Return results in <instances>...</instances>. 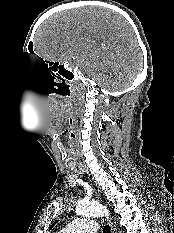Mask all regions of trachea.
I'll use <instances>...</instances> for the list:
<instances>
[{
	"mask_svg": "<svg viewBox=\"0 0 174 233\" xmlns=\"http://www.w3.org/2000/svg\"><path fill=\"white\" fill-rule=\"evenodd\" d=\"M103 232H104V233H111V232H110V226L106 225V226L104 227V229H103Z\"/></svg>",
	"mask_w": 174,
	"mask_h": 233,
	"instance_id": "trachea-1",
	"label": "trachea"
}]
</instances>
